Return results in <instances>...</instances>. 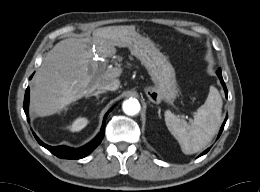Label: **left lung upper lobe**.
Wrapping results in <instances>:
<instances>
[{
  "label": "left lung upper lobe",
  "instance_id": "left-lung-upper-lobe-1",
  "mask_svg": "<svg viewBox=\"0 0 260 192\" xmlns=\"http://www.w3.org/2000/svg\"><path fill=\"white\" fill-rule=\"evenodd\" d=\"M216 73H217L218 76H222V75H221V70H220V69H218Z\"/></svg>",
  "mask_w": 260,
  "mask_h": 192
}]
</instances>
